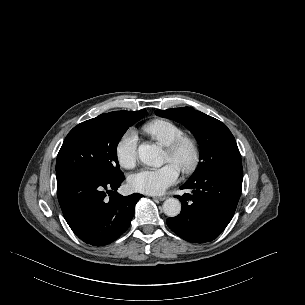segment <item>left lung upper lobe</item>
Wrapping results in <instances>:
<instances>
[{
	"label": "left lung upper lobe",
	"instance_id": "left-lung-upper-lobe-1",
	"mask_svg": "<svg viewBox=\"0 0 305 305\" xmlns=\"http://www.w3.org/2000/svg\"><path fill=\"white\" fill-rule=\"evenodd\" d=\"M155 113L183 123L197 137L200 162L189 180L221 165L241 162L235 138L221 121L190 107L156 110Z\"/></svg>",
	"mask_w": 305,
	"mask_h": 305
}]
</instances>
